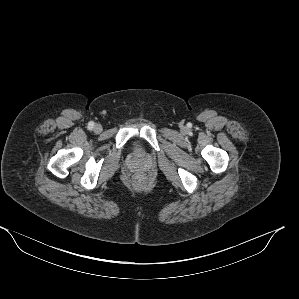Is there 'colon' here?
I'll return each instance as SVG.
<instances>
[{"mask_svg":"<svg viewBox=\"0 0 299 299\" xmlns=\"http://www.w3.org/2000/svg\"><path fill=\"white\" fill-rule=\"evenodd\" d=\"M147 180L144 175H138L134 179V183L136 186L142 187L146 184Z\"/></svg>","mask_w":299,"mask_h":299,"instance_id":"colon-1","label":"colon"}]
</instances>
